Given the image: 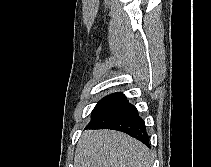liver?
<instances>
[{
  "instance_id": "6515ba94",
  "label": "liver",
  "mask_w": 211,
  "mask_h": 167,
  "mask_svg": "<svg viewBox=\"0 0 211 167\" xmlns=\"http://www.w3.org/2000/svg\"><path fill=\"white\" fill-rule=\"evenodd\" d=\"M149 149L118 131L88 130L81 136L74 167H152Z\"/></svg>"
}]
</instances>
